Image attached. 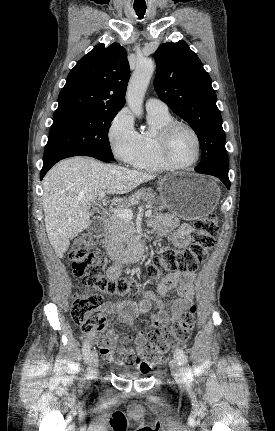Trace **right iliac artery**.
I'll list each match as a JSON object with an SVG mask.
<instances>
[{
	"label": "right iliac artery",
	"instance_id": "1",
	"mask_svg": "<svg viewBox=\"0 0 275 431\" xmlns=\"http://www.w3.org/2000/svg\"><path fill=\"white\" fill-rule=\"evenodd\" d=\"M90 349H91L90 343L87 340H85V342L83 344V348H82V350H83V356H84L85 360L89 359Z\"/></svg>",
	"mask_w": 275,
	"mask_h": 431
}]
</instances>
